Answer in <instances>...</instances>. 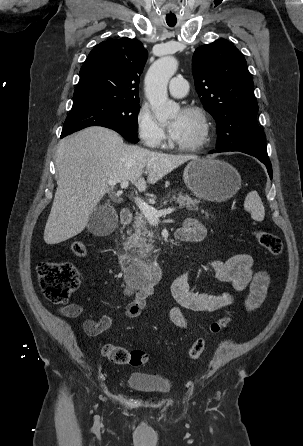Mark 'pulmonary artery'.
<instances>
[{"label": "pulmonary artery", "mask_w": 303, "mask_h": 446, "mask_svg": "<svg viewBox=\"0 0 303 446\" xmlns=\"http://www.w3.org/2000/svg\"><path fill=\"white\" fill-rule=\"evenodd\" d=\"M188 92L187 81L180 76L173 77L169 83V93L175 98H182Z\"/></svg>", "instance_id": "e3ab8cb5"}]
</instances>
